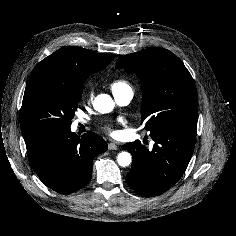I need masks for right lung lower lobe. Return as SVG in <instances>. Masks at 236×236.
<instances>
[{
    "instance_id": "obj_1",
    "label": "right lung lower lobe",
    "mask_w": 236,
    "mask_h": 236,
    "mask_svg": "<svg viewBox=\"0 0 236 236\" xmlns=\"http://www.w3.org/2000/svg\"><path fill=\"white\" fill-rule=\"evenodd\" d=\"M30 164L40 180L54 191L71 194L87 185L93 159L107 150L94 132L77 136L68 130H41L23 135Z\"/></svg>"
}]
</instances>
